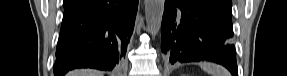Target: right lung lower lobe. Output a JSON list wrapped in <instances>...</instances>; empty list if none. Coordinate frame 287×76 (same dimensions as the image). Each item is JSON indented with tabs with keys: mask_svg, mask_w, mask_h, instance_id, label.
Segmentation results:
<instances>
[{
	"mask_svg": "<svg viewBox=\"0 0 287 76\" xmlns=\"http://www.w3.org/2000/svg\"><path fill=\"white\" fill-rule=\"evenodd\" d=\"M138 0H77L65 9L54 75L75 68L111 71L125 57Z\"/></svg>",
	"mask_w": 287,
	"mask_h": 76,
	"instance_id": "1",
	"label": "right lung lower lobe"
}]
</instances>
